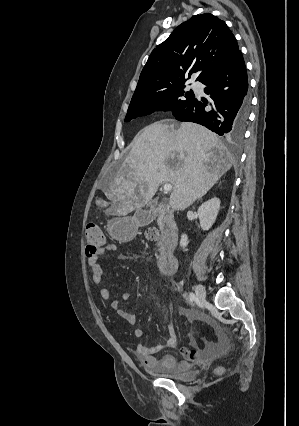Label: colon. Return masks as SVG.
Listing matches in <instances>:
<instances>
[{"label":"colon","mask_w":299,"mask_h":426,"mask_svg":"<svg viewBox=\"0 0 299 426\" xmlns=\"http://www.w3.org/2000/svg\"><path fill=\"white\" fill-rule=\"evenodd\" d=\"M148 237L151 239L156 238L157 233L155 230L151 229L147 233ZM85 252L87 257H91L97 253V251L104 246L105 237L101 229L95 224H89L85 230ZM222 370L218 369L217 373H221Z\"/></svg>","instance_id":"obj_1"}]
</instances>
